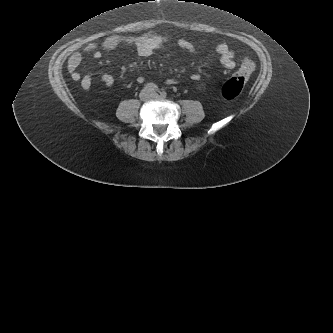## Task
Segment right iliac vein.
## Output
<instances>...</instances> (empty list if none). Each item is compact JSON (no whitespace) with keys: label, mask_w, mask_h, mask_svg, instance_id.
Wrapping results in <instances>:
<instances>
[{"label":"right iliac vein","mask_w":333,"mask_h":333,"mask_svg":"<svg viewBox=\"0 0 333 333\" xmlns=\"http://www.w3.org/2000/svg\"><path fill=\"white\" fill-rule=\"evenodd\" d=\"M152 96H153L152 93L145 89L143 90V92L140 95L141 99L145 100V101L149 100Z\"/></svg>","instance_id":"right-iliac-vein-1"}]
</instances>
